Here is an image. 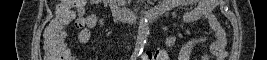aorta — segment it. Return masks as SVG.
Listing matches in <instances>:
<instances>
[{"label":"aorta","mask_w":267,"mask_h":60,"mask_svg":"<svg viewBox=\"0 0 267 60\" xmlns=\"http://www.w3.org/2000/svg\"><path fill=\"white\" fill-rule=\"evenodd\" d=\"M148 36V23L145 17H141L138 26V34L136 40L135 51L140 52L143 50Z\"/></svg>","instance_id":"762f6f07"}]
</instances>
